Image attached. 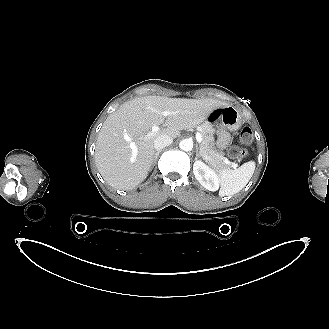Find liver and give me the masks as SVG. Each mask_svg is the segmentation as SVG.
Here are the masks:
<instances>
[{
  "mask_svg": "<svg viewBox=\"0 0 329 329\" xmlns=\"http://www.w3.org/2000/svg\"><path fill=\"white\" fill-rule=\"evenodd\" d=\"M228 105L216 99H184L145 96L123 103L110 114L96 143L95 163L104 180L113 188L130 190L143 182L154 162V140L159 135L177 138L204 122L217 107ZM168 111L165 119L162 112ZM166 128L148 135L153 126ZM127 134L130 141L124 138ZM131 144L137 148L134 155Z\"/></svg>",
  "mask_w": 329,
  "mask_h": 329,
  "instance_id": "6515ba94",
  "label": "liver"
}]
</instances>
